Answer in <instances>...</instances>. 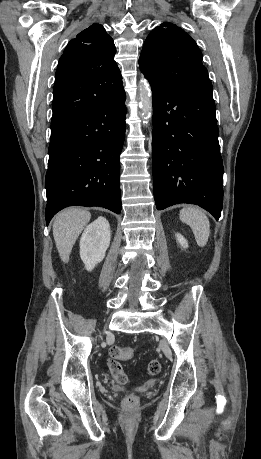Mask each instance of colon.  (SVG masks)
Returning <instances> with one entry per match:
<instances>
[{"label":"colon","mask_w":261,"mask_h":459,"mask_svg":"<svg viewBox=\"0 0 261 459\" xmlns=\"http://www.w3.org/2000/svg\"><path fill=\"white\" fill-rule=\"evenodd\" d=\"M133 348H123L120 346H112L109 349L110 359L108 360V368L113 378L120 384H125L128 381V375L124 371L119 360H130L134 356ZM161 362L158 359H152L149 361L147 370L151 375H157L161 372ZM137 397L130 395L125 399V405L133 407L137 404Z\"/></svg>","instance_id":"5ec220e1"}]
</instances>
